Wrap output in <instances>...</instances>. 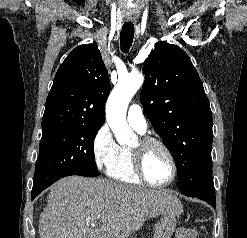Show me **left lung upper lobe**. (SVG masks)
I'll return each mask as SVG.
<instances>
[{
	"label": "left lung upper lobe",
	"instance_id": "1",
	"mask_svg": "<svg viewBox=\"0 0 247 238\" xmlns=\"http://www.w3.org/2000/svg\"><path fill=\"white\" fill-rule=\"evenodd\" d=\"M143 109L177 165L180 191L190 195L213 184L212 112L189 56L159 41L143 67Z\"/></svg>",
	"mask_w": 247,
	"mask_h": 238
}]
</instances>
